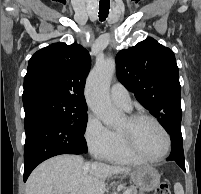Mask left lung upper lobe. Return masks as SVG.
<instances>
[{"instance_id": "1", "label": "left lung upper lobe", "mask_w": 201, "mask_h": 194, "mask_svg": "<svg viewBox=\"0 0 201 194\" xmlns=\"http://www.w3.org/2000/svg\"><path fill=\"white\" fill-rule=\"evenodd\" d=\"M119 81L168 132L181 127L179 69L171 49L148 37L116 55Z\"/></svg>"}]
</instances>
